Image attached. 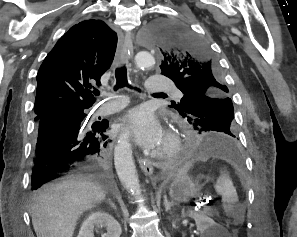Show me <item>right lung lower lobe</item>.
I'll return each mask as SVG.
<instances>
[{
	"label": "right lung lower lobe",
	"mask_w": 297,
	"mask_h": 237,
	"mask_svg": "<svg viewBox=\"0 0 297 237\" xmlns=\"http://www.w3.org/2000/svg\"><path fill=\"white\" fill-rule=\"evenodd\" d=\"M86 114L78 111H50L36 120L31 183L32 190L72 174L93 173L108 177L109 162L104 148L108 123L80 127Z\"/></svg>",
	"instance_id": "1"
}]
</instances>
